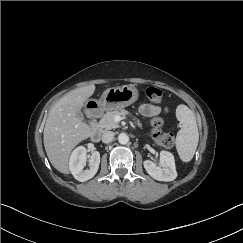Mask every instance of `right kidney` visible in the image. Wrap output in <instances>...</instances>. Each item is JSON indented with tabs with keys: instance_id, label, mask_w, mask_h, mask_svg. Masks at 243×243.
Listing matches in <instances>:
<instances>
[{
	"instance_id": "obj_1",
	"label": "right kidney",
	"mask_w": 243,
	"mask_h": 243,
	"mask_svg": "<svg viewBox=\"0 0 243 243\" xmlns=\"http://www.w3.org/2000/svg\"><path fill=\"white\" fill-rule=\"evenodd\" d=\"M87 149L79 146L71 154L69 168L74 178L80 182H85L95 176L100 164V153L95 151L89 157L90 169L84 170L87 161Z\"/></svg>"
}]
</instances>
